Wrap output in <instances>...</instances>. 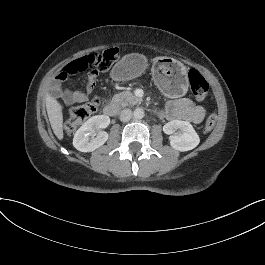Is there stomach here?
<instances>
[{
  "mask_svg": "<svg viewBox=\"0 0 265 265\" xmlns=\"http://www.w3.org/2000/svg\"><path fill=\"white\" fill-rule=\"evenodd\" d=\"M147 68V60L141 54H128L115 64L112 78L125 81L140 76ZM155 84L169 97H181L188 90L187 68L170 57H157L152 66Z\"/></svg>",
  "mask_w": 265,
  "mask_h": 265,
  "instance_id": "obj_1",
  "label": "stomach"
}]
</instances>
